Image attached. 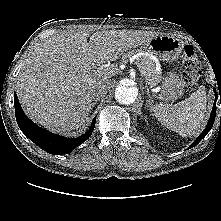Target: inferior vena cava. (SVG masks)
I'll return each mask as SVG.
<instances>
[{
    "label": "inferior vena cava",
    "instance_id": "inferior-vena-cava-1",
    "mask_svg": "<svg viewBox=\"0 0 221 221\" xmlns=\"http://www.w3.org/2000/svg\"><path fill=\"white\" fill-rule=\"evenodd\" d=\"M107 94V88L105 86H100L93 93V99H99Z\"/></svg>",
    "mask_w": 221,
    "mask_h": 221
}]
</instances>
